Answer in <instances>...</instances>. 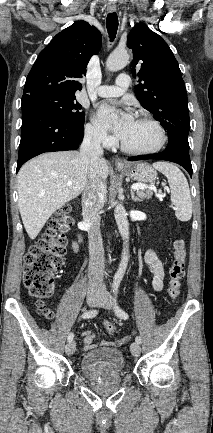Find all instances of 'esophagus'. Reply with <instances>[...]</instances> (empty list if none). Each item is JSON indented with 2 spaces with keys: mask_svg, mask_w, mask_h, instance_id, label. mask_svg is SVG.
Returning <instances> with one entry per match:
<instances>
[{
  "mask_svg": "<svg viewBox=\"0 0 213 433\" xmlns=\"http://www.w3.org/2000/svg\"><path fill=\"white\" fill-rule=\"evenodd\" d=\"M107 10H108V12L112 13V12L116 11V6L114 4H109L107 6ZM115 165L117 167H123V166H125V163L121 159H115Z\"/></svg>",
  "mask_w": 213,
  "mask_h": 433,
  "instance_id": "obj_1",
  "label": "esophagus"
}]
</instances>
